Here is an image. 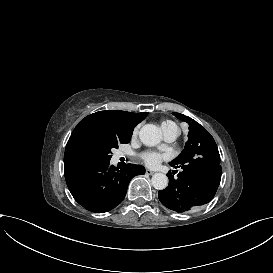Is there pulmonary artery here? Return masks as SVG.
Listing matches in <instances>:
<instances>
[{"mask_svg": "<svg viewBox=\"0 0 273 273\" xmlns=\"http://www.w3.org/2000/svg\"><path fill=\"white\" fill-rule=\"evenodd\" d=\"M162 131H163L164 139L168 143L174 142L176 138L178 137V133L175 132V127L172 124H169L168 126H164L162 128Z\"/></svg>", "mask_w": 273, "mask_h": 273, "instance_id": "pulmonary-artery-1", "label": "pulmonary artery"}]
</instances>
